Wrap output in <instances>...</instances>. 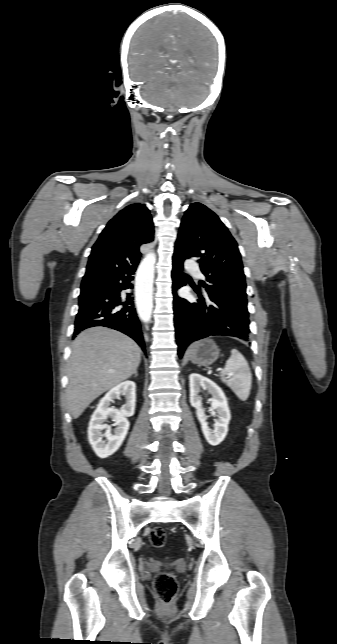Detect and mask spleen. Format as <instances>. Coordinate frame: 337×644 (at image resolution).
<instances>
[{
  "label": "spleen",
  "instance_id": "3e777b00",
  "mask_svg": "<svg viewBox=\"0 0 337 644\" xmlns=\"http://www.w3.org/2000/svg\"><path fill=\"white\" fill-rule=\"evenodd\" d=\"M226 374H231L232 377L227 378L225 377ZM221 380L241 401L248 399L252 384V374L248 362L237 349L231 350V356L226 361L221 372Z\"/></svg>",
  "mask_w": 337,
  "mask_h": 644
}]
</instances>
